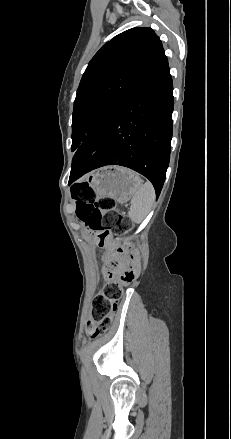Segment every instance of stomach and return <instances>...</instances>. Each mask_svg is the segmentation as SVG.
<instances>
[{"instance_id":"0dacf381","label":"stomach","mask_w":231,"mask_h":439,"mask_svg":"<svg viewBox=\"0 0 231 439\" xmlns=\"http://www.w3.org/2000/svg\"><path fill=\"white\" fill-rule=\"evenodd\" d=\"M141 182L135 172L119 166H109L94 172L89 185L100 197L126 203L139 190Z\"/></svg>"}]
</instances>
